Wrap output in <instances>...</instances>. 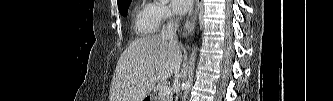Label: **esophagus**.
<instances>
[{
  "label": "esophagus",
  "mask_w": 333,
  "mask_h": 101,
  "mask_svg": "<svg viewBox=\"0 0 333 101\" xmlns=\"http://www.w3.org/2000/svg\"><path fill=\"white\" fill-rule=\"evenodd\" d=\"M199 11V0H195L194 4L189 10L183 31L182 36L187 37L189 34H191L194 30L196 19Z\"/></svg>",
  "instance_id": "1"
}]
</instances>
